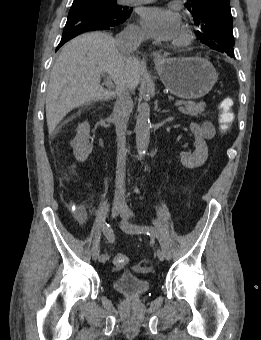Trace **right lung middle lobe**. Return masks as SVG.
Here are the masks:
<instances>
[{"label":"right lung middle lobe","mask_w":261,"mask_h":340,"mask_svg":"<svg viewBox=\"0 0 261 340\" xmlns=\"http://www.w3.org/2000/svg\"><path fill=\"white\" fill-rule=\"evenodd\" d=\"M85 7L96 9L105 15H112L113 17H125L130 14L131 10L125 7L119 6L116 0H91L73 3L71 8Z\"/></svg>","instance_id":"obj_1"}]
</instances>
